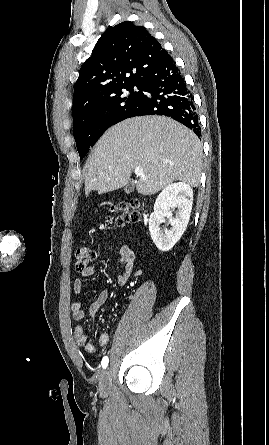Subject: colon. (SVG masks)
<instances>
[{"instance_id": "obj_1", "label": "colon", "mask_w": 269, "mask_h": 445, "mask_svg": "<svg viewBox=\"0 0 269 445\" xmlns=\"http://www.w3.org/2000/svg\"><path fill=\"white\" fill-rule=\"evenodd\" d=\"M140 202L136 199L127 203H122L113 207L112 211L116 213L115 222L118 226H123L129 222H137L141 219L139 212ZM96 253L87 246H79L75 250V267L78 271H83L95 260Z\"/></svg>"}]
</instances>
